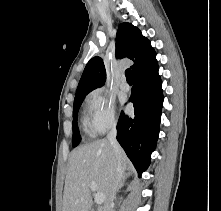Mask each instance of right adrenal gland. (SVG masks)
I'll return each mask as SVG.
<instances>
[{
    "label": "right adrenal gland",
    "instance_id": "right-adrenal-gland-1",
    "mask_svg": "<svg viewBox=\"0 0 221 211\" xmlns=\"http://www.w3.org/2000/svg\"><path fill=\"white\" fill-rule=\"evenodd\" d=\"M126 178L127 177H125V176L122 178V180H121V182H120V184L118 186L117 191H119L125 185Z\"/></svg>",
    "mask_w": 221,
    "mask_h": 211
}]
</instances>
